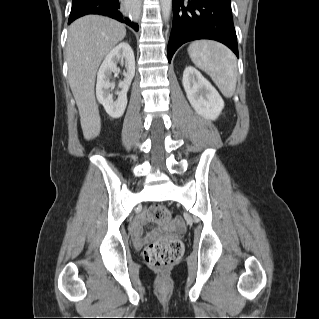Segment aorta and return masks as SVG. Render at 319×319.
Wrapping results in <instances>:
<instances>
[{
    "label": "aorta",
    "instance_id": "762f6f07",
    "mask_svg": "<svg viewBox=\"0 0 319 319\" xmlns=\"http://www.w3.org/2000/svg\"><path fill=\"white\" fill-rule=\"evenodd\" d=\"M162 16L165 21H168L172 9V0H160Z\"/></svg>",
    "mask_w": 319,
    "mask_h": 319
}]
</instances>
